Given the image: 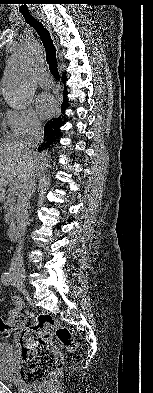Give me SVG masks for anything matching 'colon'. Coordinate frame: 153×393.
Masks as SVG:
<instances>
[{
	"instance_id": "colon-1",
	"label": "colon",
	"mask_w": 153,
	"mask_h": 393,
	"mask_svg": "<svg viewBox=\"0 0 153 393\" xmlns=\"http://www.w3.org/2000/svg\"><path fill=\"white\" fill-rule=\"evenodd\" d=\"M20 329L19 345L22 353L20 377L34 389H40L49 382L63 365L60 349L52 342L55 334L61 344L70 352L76 351L78 343L71 330L61 325L49 314H39L36 320L27 326L23 315H12L7 319L0 317V332Z\"/></svg>"
}]
</instances>
